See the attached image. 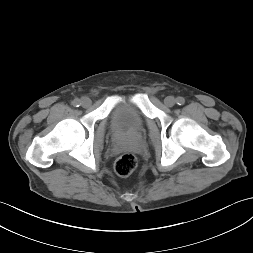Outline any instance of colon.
<instances>
[{
  "instance_id": "5ec220e1",
  "label": "colon",
  "mask_w": 253,
  "mask_h": 253,
  "mask_svg": "<svg viewBox=\"0 0 253 253\" xmlns=\"http://www.w3.org/2000/svg\"><path fill=\"white\" fill-rule=\"evenodd\" d=\"M136 166V156L132 153H124L116 159L114 170L117 175L125 177L130 175L135 170Z\"/></svg>"
}]
</instances>
